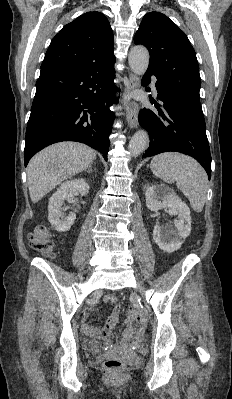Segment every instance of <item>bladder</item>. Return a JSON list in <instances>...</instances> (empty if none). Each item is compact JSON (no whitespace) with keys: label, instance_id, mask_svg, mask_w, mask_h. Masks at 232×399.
Listing matches in <instances>:
<instances>
[{"label":"bladder","instance_id":"bladder-1","mask_svg":"<svg viewBox=\"0 0 232 399\" xmlns=\"http://www.w3.org/2000/svg\"><path fill=\"white\" fill-rule=\"evenodd\" d=\"M83 348L87 353L98 354L102 352L103 347L100 343L94 340H87L83 343Z\"/></svg>","mask_w":232,"mask_h":399}]
</instances>
